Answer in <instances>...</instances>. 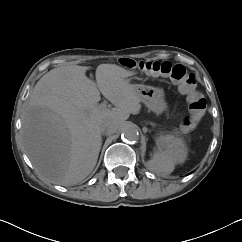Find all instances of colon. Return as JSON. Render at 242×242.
<instances>
[{
	"instance_id": "5ec220e1",
	"label": "colon",
	"mask_w": 242,
	"mask_h": 242,
	"mask_svg": "<svg viewBox=\"0 0 242 242\" xmlns=\"http://www.w3.org/2000/svg\"><path fill=\"white\" fill-rule=\"evenodd\" d=\"M120 63L127 68H137L152 76L169 78L186 95L189 114L183 119L184 127L193 128L201 120L205 111L206 101L196 90L194 75L185 66L172 64L167 61H136L132 58H122Z\"/></svg>"
}]
</instances>
